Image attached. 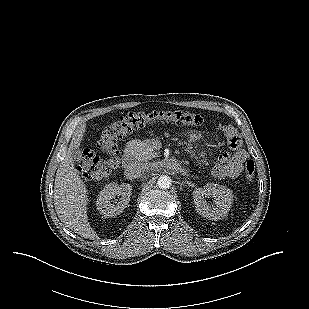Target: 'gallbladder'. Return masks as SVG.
<instances>
[{
    "instance_id": "gallbladder-1",
    "label": "gallbladder",
    "mask_w": 309,
    "mask_h": 309,
    "mask_svg": "<svg viewBox=\"0 0 309 309\" xmlns=\"http://www.w3.org/2000/svg\"><path fill=\"white\" fill-rule=\"evenodd\" d=\"M71 158L74 162H79L82 159V152L79 148L72 149Z\"/></svg>"
}]
</instances>
